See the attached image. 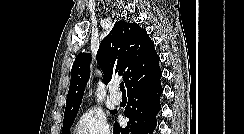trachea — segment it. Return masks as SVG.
Listing matches in <instances>:
<instances>
[{"label": "trachea", "instance_id": "trachea-1", "mask_svg": "<svg viewBox=\"0 0 244 134\" xmlns=\"http://www.w3.org/2000/svg\"><path fill=\"white\" fill-rule=\"evenodd\" d=\"M120 90L122 91V93H126L125 92V87H124V83H120Z\"/></svg>", "mask_w": 244, "mask_h": 134}]
</instances>
